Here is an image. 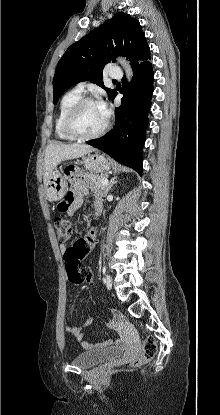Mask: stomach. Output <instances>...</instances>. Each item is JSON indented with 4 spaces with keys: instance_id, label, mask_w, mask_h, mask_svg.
<instances>
[{
    "instance_id": "stomach-1",
    "label": "stomach",
    "mask_w": 220,
    "mask_h": 415,
    "mask_svg": "<svg viewBox=\"0 0 220 415\" xmlns=\"http://www.w3.org/2000/svg\"><path fill=\"white\" fill-rule=\"evenodd\" d=\"M83 163L87 170L95 173H103L111 169L112 163L98 153L88 154L83 157ZM47 197L51 201L61 200L68 190L67 178L57 171H53L45 186Z\"/></svg>"
}]
</instances>
